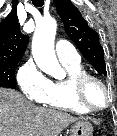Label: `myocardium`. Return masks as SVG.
Returning <instances> with one entry per match:
<instances>
[{"label":"myocardium","instance_id":"f54148a6","mask_svg":"<svg viewBox=\"0 0 117 136\" xmlns=\"http://www.w3.org/2000/svg\"><path fill=\"white\" fill-rule=\"evenodd\" d=\"M90 82H96L101 86L103 91L106 94V103L102 107H94L92 106L86 99L85 92L87 85ZM71 90H72V95L77 102L78 105H80L83 109L90 113H98L106 110L112 103L113 95L109 91L107 85L104 83L102 79L99 77L89 74V73H81L78 75H75L71 79Z\"/></svg>","mask_w":117,"mask_h":136}]
</instances>
